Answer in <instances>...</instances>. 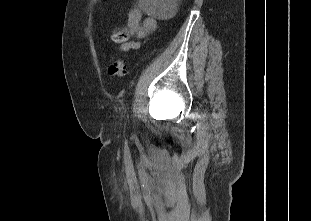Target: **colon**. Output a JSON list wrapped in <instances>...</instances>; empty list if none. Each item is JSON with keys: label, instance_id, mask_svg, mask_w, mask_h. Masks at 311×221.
<instances>
[{"label": "colon", "instance_id": "colon-1", "mask_svg": "<svg viewBox=\"0 0 311 221\" xmlns=\"http://www.w3.org/2000/svg\"><path fill=\"white\" fill-rule=\"evenodd\" d=\"M100 4H105L106 0H99ZM113 38L117 42L126 41V34L121 31L114 32ZM108 73L110 76L124 78L127 75V67L122 59H112L108 65Z\"/></svg>", "mask_w": 311, "mask_h": 221}]
</instances>
